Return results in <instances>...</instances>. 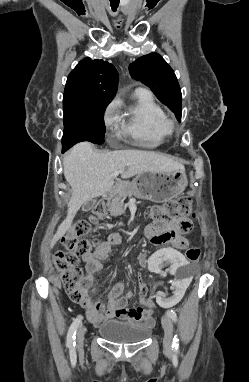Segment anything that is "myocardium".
<instances>
[{
    "label": "myocardium",
    "mask_w": 249,
    "mask_h": 382,
    "mask_svg": "<svg viewBox=\"0 0 249 382\" xmlns=\"http://www.w3.org/2000/svg\"><path fill=\"white\" fill-rule=\"evenodd\" d=\"M167 125L170 129V131H174L176 129L177 123L174 119L167 117Z\"/></svg>",
    "instance_id": "obj_1"
}]
</instances>
